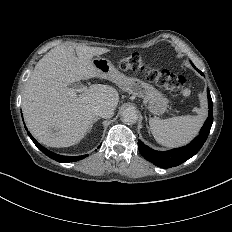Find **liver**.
I'll return each instance as SVG.
<instances>
[{"mask_svg":"<svg viewBox=\"0 0 232 232\" xmlns=\"http://www.w3.org/2000/svg\"><path fill=\"white\" fill-rule=\"evenodd\" d=\"M110 51L104 47L61 45L38 61L24 87L22 109L29 130L39 142L52 148L75 146L97 122L95 108L104 105L116 109L119 94L111 86L92 84L74 96L68 87L73 82L100 77L93 59Z\"/></svg>","mask_w":232,"mask_h":232,"instance_id":"6515ba94","label":"liver"}]
</instances>
